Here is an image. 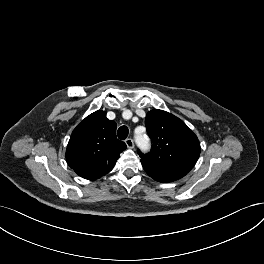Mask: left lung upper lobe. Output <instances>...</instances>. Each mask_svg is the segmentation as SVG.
<instances>
[{
  "instance_id": "left-lung-upper-lobe-1",
  "label": "left lung upper lobe",
  "mask_w": 264,
  "mask_h": 264,
  "mask_svg": "<svg viewBox=\"0 0 264 264\" xmlns=\"http://www.w3.org/2000/svg\"><path fill=\"white\" fill-rule=\"evenodd\" d=\"M145 125L152 141L151 151L142 160L189 172L200 154V143L192 130L176 116L162 110H151Z\"/></svg>"
}]
</instances>
